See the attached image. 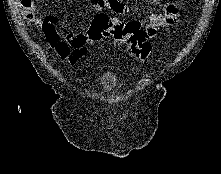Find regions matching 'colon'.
<instances>
[{"label":"colon","instance_id":"colon-1","mask_svg":"<svg viewBox=\"0 0 221 174\" xmlns=\"http://www.w3.org/2000/svg\"><path fill=\"white\" fill-rule=\"evenodd\" d=\"M41 0H19L25 20L32 22L36 18ZM86 37L91 41L112 38L115 43L125 44L137 59L147 62L151 51L149 37L139 21H122L106 14H98L87 29Z\"/></svg>","mask_w":221,"mask_h":174}]
</instances>
